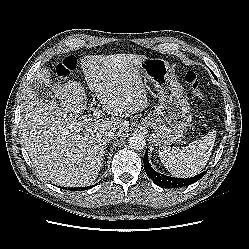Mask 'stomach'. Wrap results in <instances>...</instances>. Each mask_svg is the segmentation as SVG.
Segmentation results:
<instances>
[{"mask_svg": "<svg viewBox=\"0 0 249 249\" xmlns=\"http://www.w3.org/2000/svg\"><path fill=\"white\" fill-rule=\"evenodd\" d=\"M140 71L159 94L158 106L141 124L151 130L156 146L180 142L190 126L191 113L174 68L164 59L147 57L141 61Z\"/></svg>", "mask_w": 249, "mask_h": 249, "instance_id": "stomach-1", "label": "stomach"}]
</instances>
